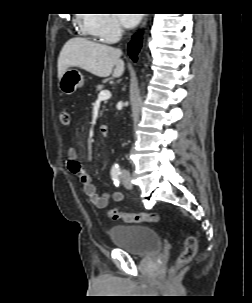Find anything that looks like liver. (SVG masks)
Returning <instances> with one entry per match:
<instances>
[{
	"mask_svg": "<svg viewBox=\"0 0 252 303\" xmlns=\"http://www.w3.org/2000/svg\"><path fill=\"white\" fill-rule=\"evenodd\" d=\"M121 51L114 47L99 44L85 38L68 40L58 58V79L70 67L84 69L99 77H121L125 64L120 59Z\"/></svg>",
	"mask_w": 252,
	"mask_h": 303,
	"instance_id": "1",
	"label": "liver"
}]
</instances>
